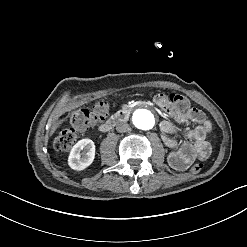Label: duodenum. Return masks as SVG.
I'll use <instances>...</instances> for the list:
<instances>
[{
    "label": "duodenum",
    "mask_w": 247,
    "mask_h": 247,
    "mask_svg": "<svg viewBox=\"0 0 247 247\" xmlns=\"http://www.w3.org/2000/svg\"><path fill=\"white\" fill-rule=\"evenodd\" d=\"M132 111V108H123L117 111L112 117L100 125L101 132H109L118 122L126 119Z\"/></svg>",
    "instance_id": "410a0bca"
}]
</instances>
